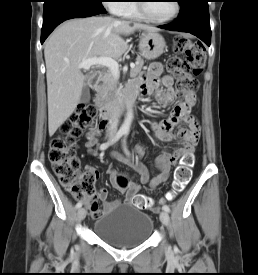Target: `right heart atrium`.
<instances>
[{"label": "right heart atrium", "mask_w": 258, "mask_h": 275, "mask_svg": "<svg viewBox=\"0 0 258 275\" xmlns=\"http://www.w3.org/2000/svg\"><path fill=\"white\" fill-rule=\"evenodd\" d=\"M106 5L114 12L119 13L121 8L124 6L125 2L124 0H106Z\"/></svg>", "instance_id": "d8ad5b80"}]
</instances>
